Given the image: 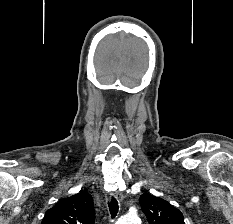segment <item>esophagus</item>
Wrapping results in <instances>:
<instances>
[{
	"instance_id": "esophagus-1",
	"label": "esophagus",
	"mask_w": 233,
	"mask_h": 224,
	"mask_svg": "<svg viewBox=\"0 0 233 224\" xmlns=\"http://www.w3.org/2000/svg\"><path fill=\"white\" fill-rule=\"evenodd\" d=\"M114 197H115L118 201H122V200H123V195H122V193L119 192V191H116V192L114 193Z\"/></svg>"
}]
</instances>
